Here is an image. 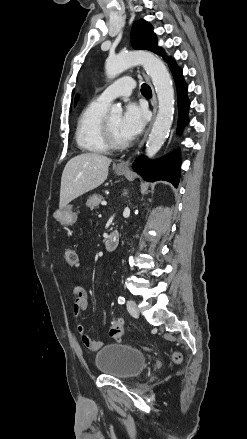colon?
<instances>
[{
	"instance_id": "5ec220e1",
	"label": "colon",
	"mask_w": 247,
	"mask_h": 439,
	"mask_svg": "<svg viewBox=\"0 0 247 439\" xmlns=\"http://www.w3.org/2000/svg\"><path fill=\"white\" fill-rule=\"evenodd\" d=\"M65 260L70 266H77L78 256L74 249L68 248L65 252ZM110 336L120 339L123 336V321L120 318H114L110 328ZM181 357L178 353L174 355L175 361H180Z\"/></svg>"
}]
</instances>
